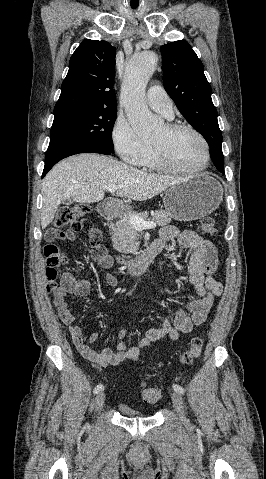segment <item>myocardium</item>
Returning a JSON list of instances; mask_svg holds the SVG:
<instances>
[{"instance_id":"1","label":"myocardium","mask_w":266,"mask_h":479,"mask_svg":"<svg viewBox=\"0 0 266 479\" xmlns=\"http://www.w3.org/2000/svg\"><path fill=\"white\" fill-rule=\"evenodd\" d=\"M165 127L170 130V131H180V130H186L191 132L193 135L197 137V139L200 141L203 151H204V158L203 162L200 166L195 167V168H185V167H179L171 164L168 162L162 155L161 151L156 147L151 142L152 149H153V157L155 159V162L157 163L158 167L164 171L167 172H173V173H184V174H197L205 171L210 163V148L207 140L205 137L193 126L184 124V123H168L165 125Z\"/></svg>"}]
</instances>
